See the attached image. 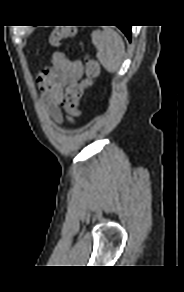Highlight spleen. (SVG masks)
<instances>
[{
  "label": "spleen",
  "mask_w": 184,
  "mask_h": 292,
  "mask_svg": "<svg viewBox=\"0 0 184 292\" xmlns=\"http://www.w3.org/2000/svg\"><path fill=\"white\" fill-rule=\"evenodd\" d=\"M91 37L97 49V59L108 72H116L125 53L121 36L112 29H104L93 31Z\"/></svg>",
  "instance_id": "spleen-1"
}]
</instances>
